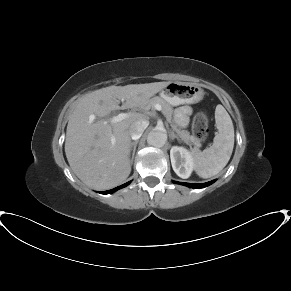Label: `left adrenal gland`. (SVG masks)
<instances>
[{
	"instance_id": "1",
	"label": "left adrenal gland",
	"mask_w": 291,
	"mask_h": 291,
	"mask_svg": "<svg viewBox=\"0 0 291 291\" xmlns=\"http://www.w3.org/2000/svg\"><path fill=\"white\" fill-rule=\"evenodd\" d=\"M177 139L178 141H180V138L172 131L171 132V139L173 140V139Z\"/></svg>"
}]
</instances>
